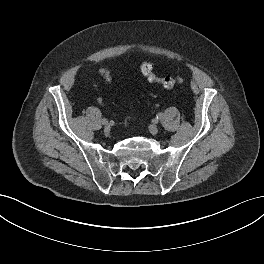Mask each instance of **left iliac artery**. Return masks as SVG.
Returning a JSON list of instances; mask_svg holds the SVG:
<instances>
[{
  "instance_id": "obj_1",
  "label": "left iliac artery",
  "mask_w": 264,
  "mask_h": 264,
  "mask_svg": "<svg viewBox=\"0 0 264 264\" xmlns=\"http://www.w3.org/2000/svg\"><path fill=\"white\" fill-rule=\"evenodd\" d=\"M163 118V114L162 113H159L157 116H156V119L157 120H161Z\"/></svg>"
}]
</instances>
